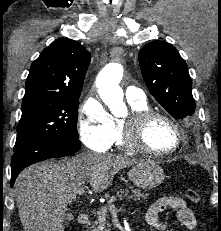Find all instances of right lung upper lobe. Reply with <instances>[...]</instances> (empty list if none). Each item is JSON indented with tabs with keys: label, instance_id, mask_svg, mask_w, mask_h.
Here are the masks:
<instances>
[{
	"label": "right lung upper lobe",
	"instance_id": "1",
	"mask_svg": "<svg viewBox=\"0 0 221 231\" xmlns=\"http://www.w3.org/2000/svg\"><path fill=\"white\" fill-rule=\"evenodd\" d=\"M90 60V53L77 41L55 40L32 63L23 101L40 97H79Z\"/></svg>",
	"mask_w": 221,
	"mask_h": 231
}]
</instances>
